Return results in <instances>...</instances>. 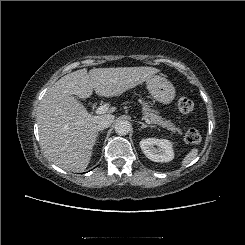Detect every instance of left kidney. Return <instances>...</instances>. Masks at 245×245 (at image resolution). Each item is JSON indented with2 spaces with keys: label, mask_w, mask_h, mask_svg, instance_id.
<instances>
[{
  "label": "left kidney",
  "mask_w": 245,
  "mask_h": 245,
  "mask_svg": "<svg viewBox=\"0 0 245 245\" xmlns=\"http://www.w3.org/2000/svg\"><path fill=\"white\" fill-rule=\"evenodd\" d=\"M140 148L145 156L154 162H170L174 158L172 143L166 139H142Z\"/></svg>",
  "instance_id": "obj_1"
}]
</instances>
